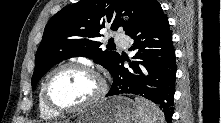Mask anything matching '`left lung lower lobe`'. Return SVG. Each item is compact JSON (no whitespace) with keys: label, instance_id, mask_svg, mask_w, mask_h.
Instances as JSON below:
<instances>
[{"label":"left lung lower lobe","instance_id":"1","mask_svg":"<svg viewBox=\"0 0 221 123\" xmlns=\"http://www.w3.org/2000/svg\"><path fill=\"white\" fill-rule=\"evenodd\" d=\"M133 40L132 49H139L130 63L131 70L124 68L120 57L110 72L113 84L107 96L135 94L158 104L165 118L173 115L176 58L169 22L158 1L154 0L135 28L127 34Z\"/></svg>","mask_w":221,"mask_h":123}]
</instances>
